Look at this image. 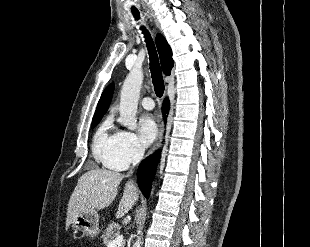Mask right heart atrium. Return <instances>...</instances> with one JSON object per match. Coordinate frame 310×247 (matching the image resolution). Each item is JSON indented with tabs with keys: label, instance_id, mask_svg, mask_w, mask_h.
I'll return each instance as SVG.
<instances>
[{
	"label": "right heart atrium",
	"instance_id": "1",
	"mask_svg": "<svg viewBox=\"0 0 310 247\" xmlns=\"http://www.w3.org/2000/svg\"><path fill=\"white\" fill-rule=\"evenodd\" d=\"M143 153L144 150L138 136L132 131L121 130L117 132L109 164L117 170H122L130 164L139 161Z\"/></svg>",
	"mask_w": 310,
	"mask_h": 247
}]
</instances>
